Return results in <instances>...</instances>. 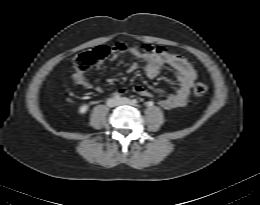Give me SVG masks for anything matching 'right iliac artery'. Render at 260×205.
Segmentation results:
<instances>
[{
  "label": "right iliac artery",
  "mask_w": 260,
  "mask_h": 205,
  "mask_svg": "<svg viewBox=\"0 0 260 205\" xmlns=\"http://www.w3.org/2000/svg\"><path fill=\"white\" fill-rule=\"evenodd\" d=\"M114 98L117 99V100H119V99H120V96H119V95H115Z\"/></svg>",
  "instance_id": "obj_1"
}]
</instances>
